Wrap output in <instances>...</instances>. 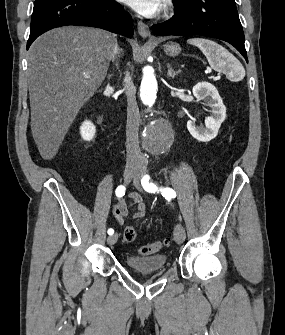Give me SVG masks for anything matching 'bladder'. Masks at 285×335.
I'll return each mask as SVG.
<instances>
[{
	"label": "bladder",
	"mask_w": 285,
	"mask_h": 335,
	"mask_svg": "<svg viewBox=\"0 0 285 335\" xmlns=\"http://www.w3.org/2000/svg\"><path fill=\"white\" fill-rule=\"evenodd\" d=\"M165 258H170L166 252H156L147 256H136L127 253L126 265H133V272L131 273L159 272L158 266L165 265Z\"/></svg>",
	"instance_id": "1"
}]
</instances>
